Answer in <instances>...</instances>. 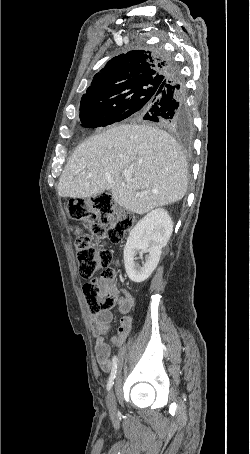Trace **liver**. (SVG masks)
Here are the masks:
<instances>
[{
  "instance_id": "obj_1",
  "label": "liver",
  "mask_w": 250,
  "mask_h": 454,
  "mask_svg": "<svg viewBox=\"0 0 250 454\" xmlns=\"http://www.w3.org/2000/svg\"><path fill=\"white\" fill-rule=\"evenodd\" d=\"M187 186V163L176 140L152 126L125 124L75 149L59 179L58 194L88 198L109 189L118 205L145 214L181 200Z\"/></svg>"
}]
</instances>
